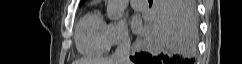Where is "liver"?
<instances>
[{"instance_id": "obj_1", "label": "liver", "mask_w": 242, "mask_h": 64, "mask_svg": "<svg viewBox=\"0 0 242 64\" xmlns=\"http://www.w3.org/2000/svg\"><path fill=\"white\" fill-rule=\"evenodd\" d=\"M180 30L183 32H192L194 37L196 35V27L191 30L187 25L182 24ZM73 64H115V61L112 58L79 59L76 60Z\"/></svg>"}]
</instances>
